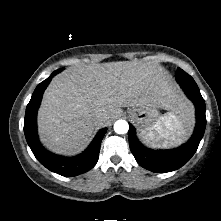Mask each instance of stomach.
Listing matches in <instances>:
<instances>
[{"label": "stomach", "instance_id": "obj_1", "mask_svg": "<svg viewBox=\"0 0 221 221\" xmlns=\"http://www.w3.org/2000/svg\"><path fill=\"white\" fill-rule=\"evenodd\" d=\"M128 115L140 130V133H143L146 143L155 144L156 146L162 145L164 140L156 129L161 121L157 106L134 107L128 110ZM150 133L152 138L148 137Z\"/></svg>", "mask_w": 221, "mask_h": 221}]
</instances>
